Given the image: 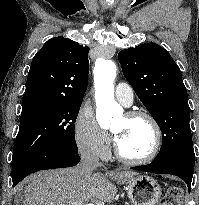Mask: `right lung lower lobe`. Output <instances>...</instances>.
<instances>
[{
	"label": "right lung lower lobe",
	"instance_id": "98d812e1",
	"mask_svg": "<svg viewBox=\"0 0 199 205\" xmlns=\"http://www.w3.org/2000/svg\"><path fill=\"white\" fill-rule=\"evenodd\" d=\"M80 157L61 149H49L12 163L13 187L27 175L39 170L75 166Z\"/></svg>",
	"mask_w": 199,
	"mask_h": 205
}]
</instances>
